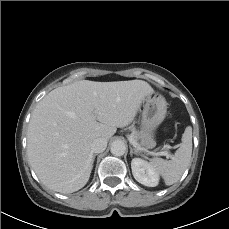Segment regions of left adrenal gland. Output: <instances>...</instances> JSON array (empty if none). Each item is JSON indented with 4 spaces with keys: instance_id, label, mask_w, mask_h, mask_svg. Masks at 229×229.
I'll return each mask as SVG.
<instances>
[{
    "instance_id": "obj_1",
    "label": "left adrenal gland",
    "mask_w": 229,
    "mask_h": 229,
    "mask_svg": "<svg viewBox=\"0 0 229 229\" xmlns=\"http://www.w3.org/2000/svg\"><path fill=\"white\" fill-rule=\"evenodd\" d=\"M133 154L138 155V153L132 147H130V155L132 156Z\"/></svg>"
}]
</instances>
